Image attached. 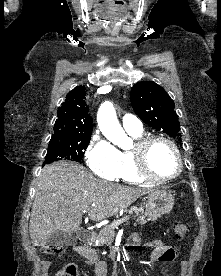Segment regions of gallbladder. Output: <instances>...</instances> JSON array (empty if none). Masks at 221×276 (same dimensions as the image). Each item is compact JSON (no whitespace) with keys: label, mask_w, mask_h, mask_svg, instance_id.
<instances>
[{"label":"gallbladder","mask_w":221,"mask_h":276,"mask_svg":"<svg viewBox=\"0 0 221 276\" xmlns=\"http://www.w3.org/2000/svg\"><path fill=\"white\" fill-rule=\"evenodd\" d=\"M76 242L77 237L75 234L56 230L49 237L47 244L52 247H67L75 245Z\"/></svg>","instance_id":"obj_1"}]
</instances>
